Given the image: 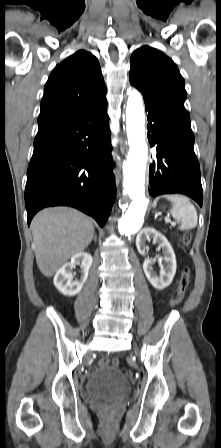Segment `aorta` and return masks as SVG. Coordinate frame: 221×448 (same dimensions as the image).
I'll use <instances>...</instances> for the list:
<instances>
[{"label":"aorta","instance_id":"1","mask_svg":"<svg viewBox=\"0 0 221 448\" xmlns=\"http://www.w3.org/2000/svg\"><path fill=\"white\" fill-rule=\"evenodd\" d=\"M145 115L141 94L130 91L126 107V129L129 152L123 170V187L132 199L126 213L118 222L121 234L138 231L148 206L145 196V170L148 147L145 141Z\"/></svg>","mask_w":221,"mask_h":448}]
</instances>
